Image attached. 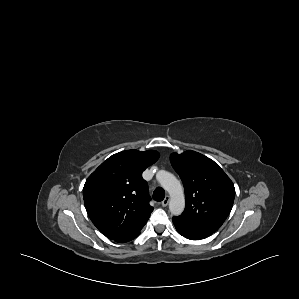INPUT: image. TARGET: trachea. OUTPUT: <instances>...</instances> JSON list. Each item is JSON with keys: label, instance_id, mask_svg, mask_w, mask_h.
I'll list each match as a JSON object with an SVG mask.
<instances>
[{"label": "trachea", "instance_id": "3493384b", "mask_svg": "<svg viewBox=\"0 0 299 299\" xmlns=\"http://www.w3.org/2000/svg\"><path fill=\"white\" fill-rule=\"evenodd\" d=\"M165 197V191L162 188H156L153 192V198L156 201H162Z\"/></svg>", "mask_w": 299, "mask_h": 299}]
</instances>
